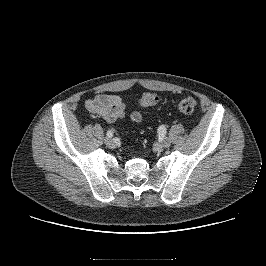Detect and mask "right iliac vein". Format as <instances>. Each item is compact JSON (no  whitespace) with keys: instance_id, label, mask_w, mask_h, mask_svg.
<instances>
[{"instance_id":"obj_1","label":"right iliac vein","mask_w":266,"mask_h":266,"mask_svg":"<svg viewBox=\"0 0 266 266\" xmlns=\"http://www.w3.org/2000/svg\"><path fill=\"white\" fill-rule=\"evenodd\" d=\"M105 144L108 148H111V149L115 148V142L113 139L106 138Z\"/></svg>"}]
</instances>
